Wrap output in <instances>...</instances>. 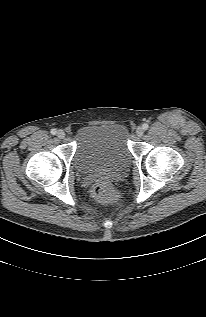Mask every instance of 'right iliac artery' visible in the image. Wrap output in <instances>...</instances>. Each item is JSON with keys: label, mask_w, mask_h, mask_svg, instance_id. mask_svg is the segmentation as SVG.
<instances>
[{"label": "right iliac artery", "mask_w": 206, "mask_h": 317, "mask_svg": "<svg viewBox=\"0 0 206 317\" xmlns=\"http://www.w3.org/2000/svg\"><path fill=\"white\" fill-rule=\"evenodd\" d=\"M50 133H51L52 135H55V134L57 133V130H56V129H51Z\"/></svg>", "instance_id": "82829eb1"}]
</instances>
